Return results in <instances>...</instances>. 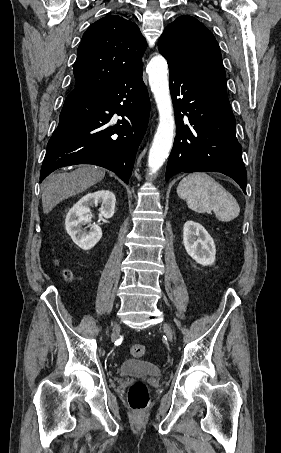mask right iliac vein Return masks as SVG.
Returning <instances> with one entry per match:
<instances>
[{
  "mask_svg": "<svg viewBox=\"0 0 281 453\" xmlns=\"http://www.w3.org/2000/svg\"><path fill=\"white\" fill-rule=\"evenodd\" d=\"M113 326H114V327H113V328H114V331H113V332H114L115 334H116L118 331H120L121 328H122L121 325H120V323H119L117 320L113 323Z\"/></svg>",
  "mask_w": 281,
  "mask_h": 453,
  "instance_id": "right-iliac-vein-1",
  "label": "right iliac vein"
}]
</instances>
